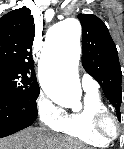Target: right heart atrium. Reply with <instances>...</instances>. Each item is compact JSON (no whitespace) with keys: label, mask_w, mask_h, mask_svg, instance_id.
I'll list each match as a JSON object with an SVG mask.
<instances>
[{"label":"right heart atrium","mask_w":124,"mask_h":149,"mask_svg":"<svg viewBox=\"0 0 124 149\" xmlns=\"http://www.w3.org/2000/svg\"><path fill=\"white\" fill-rule=\"evenodd\" d=\"M36 111L41 123L51 130L57 129L65 113L61 107L44 94H41L37 100Z\"/></svg>","instance_id":"d8ad5b80"}]
</instances>
